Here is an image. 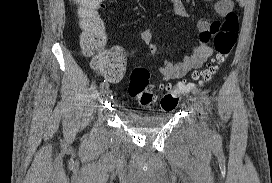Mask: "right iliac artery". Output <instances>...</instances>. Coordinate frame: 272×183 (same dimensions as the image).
I'll use <instances>...</instances> for the list:
<instances>
[{"mask_svg": "<svg viewBox=\"0 0 272 183\" xmlns=\"http://www.w3.org/2000/svg\"><path fill=\"white\" fill-rule=\"evenodd\" d=\"M100 88L103 90L104 88H108V82L106 80H104L103 82H101L100 84Z\"/></svg>", "mask_w": 272, "mask_h": 183, "instance_id": "right-iliac-artery-1", "label": "right iliac artery"}]
</instances>
